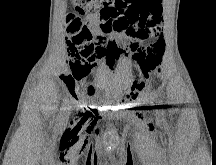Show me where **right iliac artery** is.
I'll use <instances>...</instances> for the list:
<instances>
[{
  "instance_id": "right-iliac-artery-1",
  "label": "right iliac artery",
  "mask_w": 216,
  "mask_h": 165,
  "mask_svg": "<svg viewBox=\"0 0 216 165\" xmlns=\"http://www.w3.org/2000/svg\"><path fill=\"white\" fill-rule=\"evenodd\" d=\"M65 109H66L65 105H62L60 108L61 112L65 111Z\"/></svg>"
}]
</instances>
